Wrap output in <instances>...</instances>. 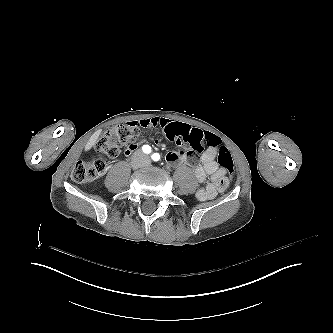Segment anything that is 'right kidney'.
Here are the masks:
<instances>
[{
  "instance_id": "ca27d5eb",
  "label": "right kidney",
  "mask_w": 333,
  "mask_h": 333,
  "mask_svg": "<svg viewBox=\"0 0 333 333\" xmlns=\"http://www.w3.org/2000/svg\"><path fill=\"white\" fill-rule=\"evenodd\" d=\"M100 184V181L98 180V181H95L94 183H93V186H98Z\"/></svg>"
}]
</instances>
